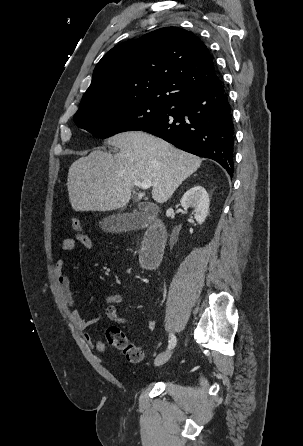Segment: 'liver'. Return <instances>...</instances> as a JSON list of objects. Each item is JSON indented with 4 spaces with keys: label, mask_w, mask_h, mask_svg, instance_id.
<instances>
[{
    "label": "liver",
    "mask_w": 303,
    "mask_h": 446,
    "mask_svg": "<svg viewBox=\"0 0 303 446\" xmlns=\"http://www.w3.org/2000/svg\"><path fill=\"white\" fill-rule=\"evenodd\" d=\"M107 143L117 154L94 150L69 168L67 189L75 211H110L125 207L135 182L150 180L152 198L165 203L201 165L202 159L150 134H117Z\"/></svg>",
    "instance_id": "6515ba94"
}]
</instances>
